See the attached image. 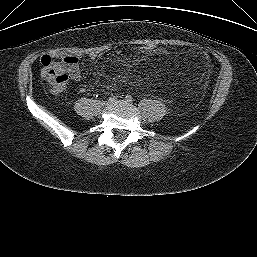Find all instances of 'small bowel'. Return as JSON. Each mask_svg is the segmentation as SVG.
Here are the masks:
<instances>
[{
	"mask_svg": "<svg viewBox=\"0 0 257 257\" xmlns=\"http://www.w3.org/2000/svg\"><path fill=\"white\" fill-rule=\"evenodd\" d=\"M89 57L95 59L97 55L91 53ZM80 59V55L77 54L66 55L62 56L60 61L56 64L68 74L72 81L77 82L81 78Z\"/></svg>",
	"mask_w": 257,
	"mask_h": 257,
	"instance_id": "obj_1",
	"label": "small bowel"
}]
</instances>
